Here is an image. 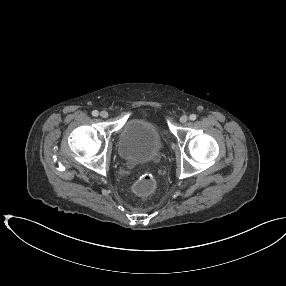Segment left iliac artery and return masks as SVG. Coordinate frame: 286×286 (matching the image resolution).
<instances>
[{"label": "left iliac artery", "mask_w": 286, "mask_h": 286, "mask_svg": "<svg viewBox=\"0 0 286 286\" xmlns=\"http://www.w3.org/2000/svg\"><path fill=\"white\" fill-rule=\"evenodd\" d=\"M189 118H190V120L194 121V120H196L197 116H196V114H191Z\"/></svg>", "instance_id": "left-iliac-artery-1"}]
</instances>
